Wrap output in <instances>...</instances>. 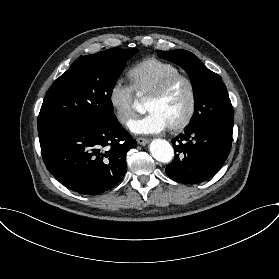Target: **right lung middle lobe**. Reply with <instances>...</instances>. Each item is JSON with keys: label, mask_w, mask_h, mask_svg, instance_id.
Listing matches in <instances>:
<instances>
[{"label": "right lung middle lobe", "mask_w": 279, "mask_h": 279, "mask_svg": "<svg viewBox=\"0 0 279 279\" xmlns=\"http://www.w3.org/2000/svg\"><path fill=\"white\" fill-rule=\"evenodd\" d=\"M137 49L112 48L82 56L52 84L38 116L39 139L70 128L116 121L111 95Z\"/></svg>", "instance_id": "1"}]
</instances>
